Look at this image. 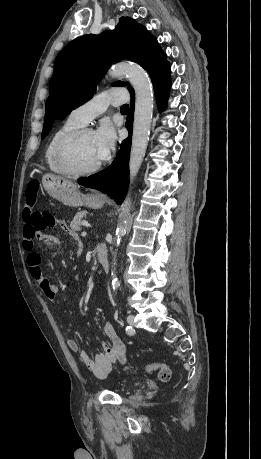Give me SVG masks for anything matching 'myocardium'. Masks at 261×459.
<instances>
[{
  "label": "myocardium",
  "instance_id": "1",
  "mask_svg": "<svg viewBox=\"0 0 261 459\" xmlns=\"http://www.w3.org/2000/svg\"><path fill=\"white\" fill-rule=\"evenodd\" d=\"M93 133L88 127H79L60 138L55 148V161L58 167L67 175L89 176L100 170L102 162L88 169H79L73 165L70 153L73 145L85 134Z\"/></svg>",
  "mask_w": 261,
  "mask_h": 459
}]
</instances>
